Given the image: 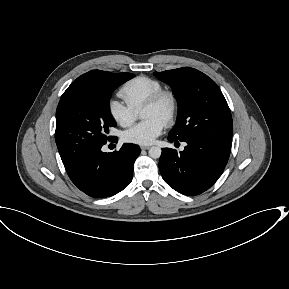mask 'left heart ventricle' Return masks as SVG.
Here are the masks:
<instances>
[{"label": "left heart ventricle", "instance_id": "1", "mask_svg": "<svg viewBox=\"0 0 289 289\" xmlns=\"http://www.w3.org/2000/svg\"><path fill=\"white\" fill-rule=\"evenodd\" d=\"M167 108H168L167 101L162 102L159 106L156 107H145L142 110V117L144 119L157 117L164 121Z\"/></svg>", "mask_w": 289, "mask_h": 289}]
</instances>
